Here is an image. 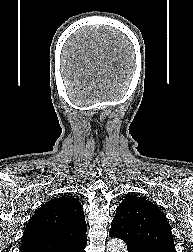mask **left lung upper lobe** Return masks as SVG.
<instances>
[{
    "instance_id": "1",
    "label": "left lung upper lobe",
    "mask_w": 193,
    "mask_h": 252,
    "mask_svg": "<svg viewBox=\"0 0 193 252\" xmlns=\"http://www.w3.org/2000/svg\"><path fill=\"white\" fill-rule=\"evenodd\" d=\"M109 235L125 241L128 252H176L170 224L162 211L133 194L118 206Z\"/></svg>"
}]
</instances>
